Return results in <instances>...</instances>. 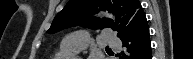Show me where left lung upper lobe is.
I'll return each mask as SVG.
<instances>
[{
    "instance_id": "1",
    "label": "left lung upper lobe",
    "mask_w": 193,
    "mask_h": 59,
    "mask_svg": "<svg viewBox=\"0 0 193 59\" xmlns=\"http://www.w3.org/2000/svg\"><path fill=\"white\" fill-rule=\"evenodd\" d=\"M116 14V20L94 18L98 10ZM143 12L139 0H70L54 18L48 33H55L72 26H86L92 29L109 27L118 31L119 37L137 14Z\"/></svg>"
}]
</instances>
